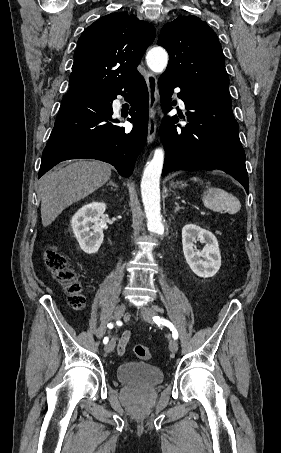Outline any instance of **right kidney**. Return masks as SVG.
<instances>
[{
  "label": "right kidney",
  "mask_w": 281,
  "mask_h": 453,
  "mask_svg": "<svg viewBox=\"0 0 281 453\" xmlns=\"http://www.w3.org/2000/svg\"><path fill=\"white\" fill-rule=\"evenodd\" d=\"M105 202H89L79 208L72 216L71 227L80 245L87 255H94L100 249L104 235L100 216L105 212Z\"/></svg>",
  "instance_id": "1"
}]
</instances>
